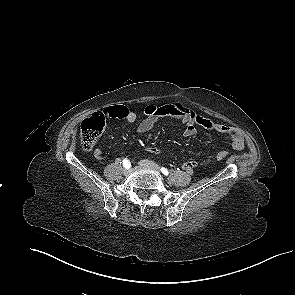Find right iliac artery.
Listing matches in <instances>:
<instances>
[{
    "mask_svg": "<svg viewBox=\"0 0 295 295\" xmlns=\"http://www.w3.org/2000/svg\"><path fill=\"white\" fill-rule=\"evenodd\" d=\"M122 163V162H121ZM123 166L126 168V169H129L131 167V164L129 162V160H127L126 158L123 159Z\"/></svg>",
    "mask_w": 295,
    "mask_h": 295,
    "instance_id": "right-iliac-artery-1",
    "label": "right iliac artery"
}]
</instances>
